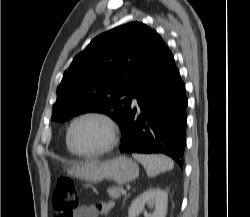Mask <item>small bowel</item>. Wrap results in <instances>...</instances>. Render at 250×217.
<instances>
[{
	"label": "small bowel",
	"instance_id": "1",
	"mask_svg": "<svg viewBox=\"0 0 250 217\" xmlns=\"http://www.w3.org/2000/svg\"><path fill=\"white\" fill-rule=\"evenodd\" d=\"M113 202H100L96 205H83L74 210L72 217H98L108 215L113 209Z\"/></svg>",
	"mask_w": 250,
	"mask_h": 217
}]
</instances>
